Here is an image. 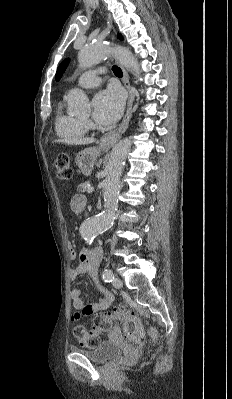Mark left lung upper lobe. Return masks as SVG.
<instances>
[{
	"label": "left lung upper lobe",
	"instance_id": "obj_1",
	"mask_svg": "<svg viewBox=\"0 0 232 399\" xmlns=\"http://www.w3.org/2000/svg\"><path fill=\"white\" fill-rule=\"evenodd\" d=\"M119 38L122 39V37L119 35ZM69 63V59H65L58 67V70L56 72V80H59L63 74V72L65 71L67 65Z\"/></svg>",
	"mask_w": 232,
	"mask_h": 399
}]
</instances>
